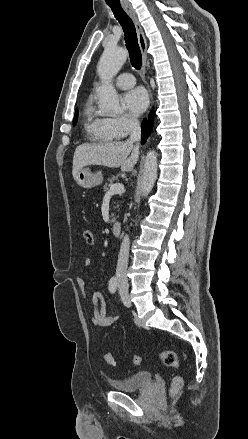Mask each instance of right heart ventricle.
Listing matches in <instances>:
<instances>
[{
	"instance_id": "obj_1",
	"label": "right heart ventricle",
	"mask_w": 248,
	"mask_h": 439,
	"mask_svg": "<svg viewBox=\"0 0 248 439\" xmlns=\"http://www.w3.org/2000/svg\"><path fill=\"white\" fill-rule=\"evenodd\" d=\"M82 116L84 129L91 140L110 143L120 138L109 128L107 118L97 111L92 98H89L85 103Z\"/></svg>"
}]
</instances>
